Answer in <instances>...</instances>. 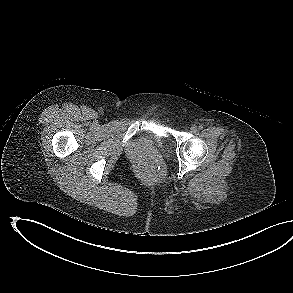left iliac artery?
Segmentation results:
<instances>
[{
	"label": "left iliac artery",
	"mask_w": 293,
	"mask_h": 293,
	"mask_svg": "<svg viewBox=\"0 0 293 293\" xmlns=\"http://www.w3.org/2000/svg\"><path fill=\"white\" fill-rule=\"evenodd\" d=\"M198 129L199 130H202L203 129V126L202 125H199Z\"/></svg>",
	"instance_id": "left-iliac-artery-1"
}]
</instances>
